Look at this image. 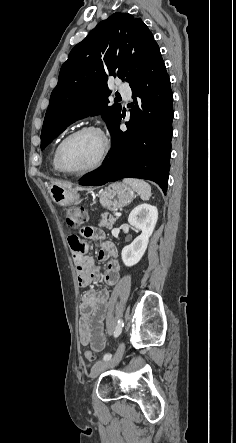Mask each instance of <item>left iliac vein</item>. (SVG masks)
Instances as JSON below:
<instances>
[{
    "instance_id": "1",
    "label": "left iliac vein",
    "mask_w": 236,
    "mask_h": 443,
    "mask_svg": "<svg viewBox=\"0 0 236 443\" xmlns=\"http://www.w3.org/2000/svg\"><path fill=\"white\" fill-rule=\"evenodd\" d=\"M123 354H124V343L122 342L119 344L115 355L111 359L98 361L92 366L90 374L91 378L94 379L103 371L116 366L121 360Z\"/></svg>"
}]
</instances>
